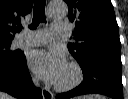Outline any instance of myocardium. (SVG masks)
<instances>
[{
    "instance_id": "myocardium-1",
    "label": "myocardium",
    "mask_w": 128,
    "mask_h": 99,
    "mask_svg": "<svg viewBox=\"0 0 128 99\" xmlns=\"http://www.w3.org/2000/svg\"><path fill=\"white\" fill-rule=\"evenodd\" d=\"M67 66H69L72 69L74 73V77L72 81L67 84L56 83L55 89L57 91H60V92L70 91L74 89L75 87H77L83 80V72L78 63L71 61L67 64Z\"/></svg>"
}]
</instances>
